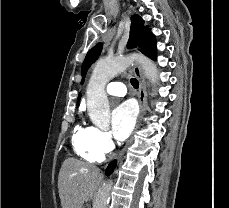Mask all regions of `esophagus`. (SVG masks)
<instances>
[{
  "label": "esophagus",
  "instance_id": "34e87169",
  "mask_svg": "<svg viewBox=\"0 0 229 208\" xmlns=\"http://www.w3.org/2000/svg\"><path fill=\"white\" fill-rule=\"evenodd\" d=\"M133 73L135 77L137 78V80H139V83H140L139 92H138V101H139V106H140V117L142 118L145 116L146 111H147L148 96H147V91H146L145 79H144L141 67L138 63H134ZM131 142H132V139L126 143L124 150L119 155V160H121V158L124 155L125 149L131 144Z\"/></svg>",
  "mask_w": 229,
  "mask_h": 208
}]
</instances>
